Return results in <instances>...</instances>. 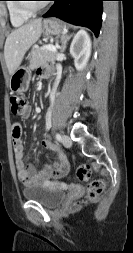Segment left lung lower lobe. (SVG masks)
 Listing matches in <instances>:
<instances>
[{
	"label": "left lung lower lobe",
	"mask_w": 133,
	"mask_h": 253,
	"mask_svg": "<svg viewBox=\"0 0 133 253\" xmlns=\"http://www.w3.org/2000/svg\"><path fill=\"white\" fill-rule=\"evenodd\" d=\"M54 5L43 17H57L66 22L88 27L99 35L104 0H53Z\"/></svg>",
	"instance_id": "obj_1"
}]
</instances>
